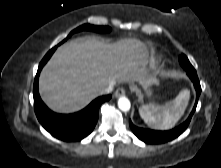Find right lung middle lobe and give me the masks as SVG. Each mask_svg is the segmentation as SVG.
Listing matches in <instances>:
<instances>
[{
	"label": "right lung middle lobe",
	"mask_w": 221,
	"mask_h": 168,
	"mask_svg": "<svg viewBox=\"0 0 221 168\" xmlns=\"http://www.w3.org/2000/svg\"><path fill=\"white\" fill-rule=\"evenodd\" d=\"M83 30H88V31H95V32H100V33H104V32H109L111 30L110 27H104V26H94V25H90V24H84L76 29H74L67 38H69L72 34L76 33V32H80ZM66 38V39H67ZM65 39V40H66ZM64 40V41H65ZM63 41V42H64Z\"/></svg>",
	"instance_id": "right-lung-middle-lobe-1"
}]
</instances>
